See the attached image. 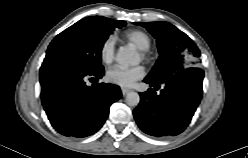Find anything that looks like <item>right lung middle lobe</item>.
<instances>
[{
	"label": "right lung middle lobe",
	"mask_w": 248,
	"mask_h": 158,
	"mask_svg": "<svg viewBox=\"0 0 248 158\" xmlns=\"http://www.w3.org/2000/svg\"><path fill=\"white\" fill-rule=\"evenodd\" d=\"M126 25L99 16L86 17L58 34L50 43L42 65H63L83 71L103 68L101 51L115 27Z\"/></svg>",
	"instance_id": "obj_1"
}]
</instances>
